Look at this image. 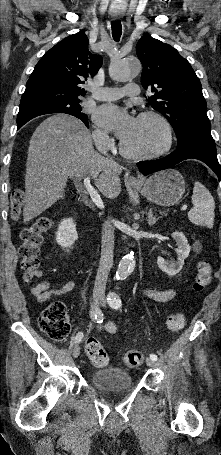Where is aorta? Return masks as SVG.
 <instances>
[{"label": "aorta", "mask_w": 221, "mask_h": 455, "mask_svg": "<svg viewBox=\"0 0 221 455\" xmlns=\"http://www.w3.org/2000/svg\"><path fill=\"white\" fill-rule=\"evenodd\" d=\"M141 71V64L135 59L121 60L112 63L110 77L119 82H124L137 76ZM135 261L133 253L125 255L119 262L116 278H125L134 268Z\"/></svg>", "instance_id": "762f6f07"}]
</instances>
